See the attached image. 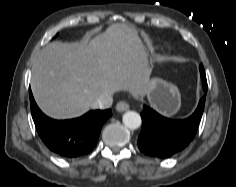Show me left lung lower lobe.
<instances>
[{"instance_id": "1", "label": "left lung lower lobe", "mask_w": 236, "mask_h": 187, "mask_svg": "<svg viewBox=\"0 0 236 187\" xmlns=\"http://www.w3.org/2000/svg\"><path fill=\"white\" fill-rule=\"evenodd\" d=\"M201 76L205 71H200ZM204 95L200 99L195 112L183 120L165 118L144 106L141 113L142 129L138 137V147L142 153L150 157L168 158L182 151L195 137L207 94V86L203 84Z\"/></svg>"}]
</instances>
